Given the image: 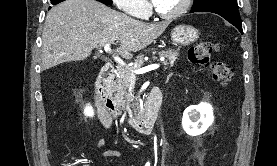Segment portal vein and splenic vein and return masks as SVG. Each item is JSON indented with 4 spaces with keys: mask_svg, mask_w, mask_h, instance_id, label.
Instances as JSON below:
<instances>
[{
    "mask_svg": "<svg viewBox=\"0 0 277 166\" xmlns=\"http://www.w3.org/2000/svg\"><path fill=\"white\" fill-rule=\"evenodd\" d=\"M104 50H105L106 53H111L110 44H106V45L104 46ZM114 60H115L119 65H125V63H124L119 57L114 56ZM159 67H160L159 64H152V65H149V66H147V67H145V68L132 70V72L135 73V74H140V73H143V72H146V71L158 69Z\"/></svg>",
    "mask_w": 277,
    "mask_h": 166,
    "instance_id": "1",
    "label": "portal vein and splenic vein"
}]
</instances>
